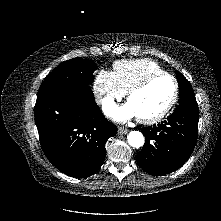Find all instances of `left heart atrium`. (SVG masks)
Segmentation results:
<instances>
[{
	"mask_svg": "<svg viewBox=\"0 0 221 221\" xmlns=\"http://www.w3.org/2000/svg\"><path fill=\"white\" fill-rule=\"evenodd\" d=\"M105 112L117 121H125L133 117H137L135 111L129 103L120 107L113 104H108L105 106Z\"/></svg>",
	"mask_w": 221,
	"mask_h": 221,
	"instance_id": "39dd6f15",
	"label": "left heart atrium"
}]
</instances>
